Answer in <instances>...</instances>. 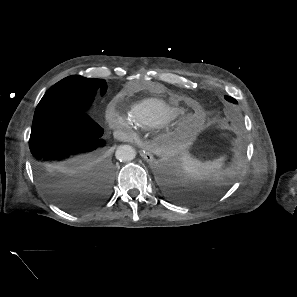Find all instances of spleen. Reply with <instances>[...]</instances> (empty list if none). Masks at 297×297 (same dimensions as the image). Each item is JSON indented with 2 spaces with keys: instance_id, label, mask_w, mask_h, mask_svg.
Masks as SVG:
<instances>
[{
  "instance_id": "obj_1",
  "label": "spleen",
  "mask_w": 297,
  "mask_h": 297,
  "mask_svg": "<svg viewBox=\"0 0 297 297\" xmlns=\"http://www.w3.org/2000/svg\"><path fill=\"white\" fill-rule=\"evenodd\" d=\"M181 161L184 172L194 180L201 181L216 178L222 172L223 158L202 162L189 154H184Z\"/></svg>"
}]
</instances>
